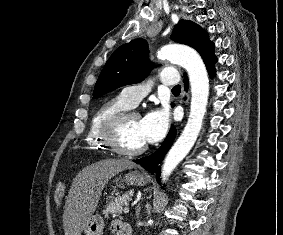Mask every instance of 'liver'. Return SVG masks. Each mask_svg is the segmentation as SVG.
<instances>
[{
  "instance_id": "obj_1",
  "label": "liver",
  "mask_w": 283,
  "mask_h": 235,
  "mask_svg": "<svg viewBox=\"0 0 283 235\" xmlns=\"http://www.w3.org/2000/svg\"><path fill=\"white\" fill-rule=\"evenodd\" d=\"M137 165L126 159H105L85 167L74 178L63 213L65 235H81L96 210L107 182L119 172Z\"/></svg>"
}]
</instances>
